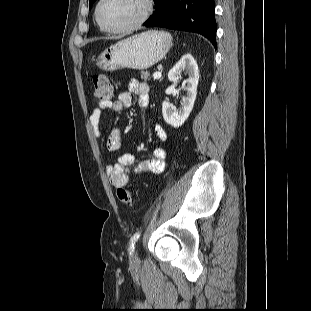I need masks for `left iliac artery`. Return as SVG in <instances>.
I'll return each instance as SVG.
<instances>
[{
	"instance_id": "obj_1",
	"label": "left iliac artery",
	"mask_w": 311,
	"mask_h": 311,
	"mask_svg": "<svg viewBox=\"0 0 311 311\" xmlns=\"http://www.w3.org/2000/svg\"><path fill=\"white\" fill-rule=\"evenodd\" d=\"M141 235V231H137L130 239V243H129V248H128V251L130 253V255L132 254V252L134 251L135 249V243L137 242V240L139 239Z\"/></svg>"
}]
</instances>
